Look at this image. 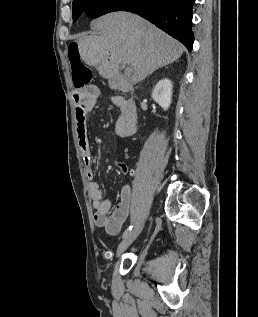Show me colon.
<instances>
[{
    "label": "colon",
    "mask_w": 258,
    "mask_h": 317,
    "mask_svg": "<svg viewBox=\"0 0 258 317\" xmlns=\"http://www.w3.org/2000/svg\"><path fill=\"white\" fill-rule=\"evenodd\" d=\"M67 55L75 88H85L93 78L92 70L82 61L78 43L71 42L67 47Z\"/></svg>",
    "instance_id": "1"
}]
</instances>
